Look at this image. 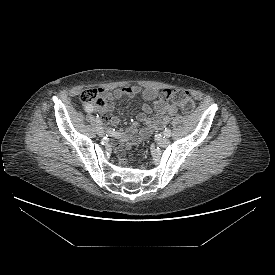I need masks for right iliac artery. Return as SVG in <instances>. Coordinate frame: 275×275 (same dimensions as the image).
Wrapping results in <instances>:
<instances>
[{
	"label": "right iliac artery",
	"instance_id": "82829eb1",
	"mask_svg": "<svg viewBox=\"0 0 275 275\" xmlns=\"http://www.w3.org/2000/svg\"><path fill=\"white\" fill-rule=\"evenodd\" d=\"M85 111L92 113L94 112V108L92 105H85ZM97 117H98V114H97ZM108 133L116 137L121 136V132H115V130H108Z\"/></svg>",
	"mask_w": 275,
	"mask_h": 275
}]
</instances>
